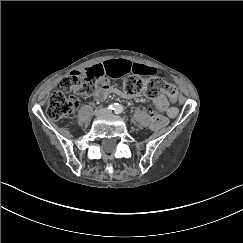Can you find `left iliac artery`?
Returning a JSON list of instances; mask_svg holds the SVG:
<instances>
[{
  "label": "left iliac artery",
  "mask_w": 243,
  "mask_h": 243,
  "mask_svg": "<svg viewBox=\"0 0 243 243\" xmlns=\"http://www.w3.org/2000/svg\"><path fill=\"white\" fill-rule=\"evenodd\" d=\"M123 112V108L122 107H118L117 110L115 111L116 114H120Z\"/></svg>",
  "instance_id": "44dca946"
}]
</instances>
